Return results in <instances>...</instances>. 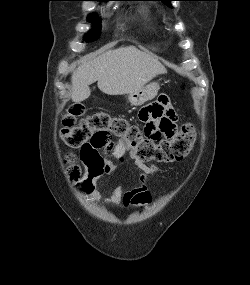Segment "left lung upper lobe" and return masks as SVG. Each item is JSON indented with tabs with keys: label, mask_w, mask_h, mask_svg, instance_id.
Here are the masks:
<instances>
[{
	"label": "left lung upper lobe",
	"mask_w": 250,
	"mask_h": 285,
	"mask_svg": "<svg viewBox=\"0 0 250 285\" xmlns=\"http://www.w3.org/2000/svg\"><path fill=\"white\" fill-rule=\"evenodd\" d=\"M156 1H162V2H164L167 6L171 7V1H174V0H156Z\"/></svg>",
	"instance_id": "left-lung-upper-lobe-1"
}]
</instances>
